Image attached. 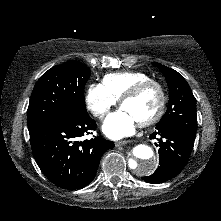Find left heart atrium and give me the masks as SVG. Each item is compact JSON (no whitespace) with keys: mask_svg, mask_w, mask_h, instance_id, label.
<instances>
[{"mask_svg":"<svg viewBox=\"0 0 221 221\" xmlns=\"http://www.w3.org/2000/svg\"><path fill=\"white\" fill-rule=\"evenodd\" d=\"M139 122L125 109L110 114L103 123V132L111 139L118 140L132 135Z\"/></svg>","mask_w":221,"mask_h":221,"instance_id":"left-heart-atrium-1","label":"left heart atrium"}]
</instances>
